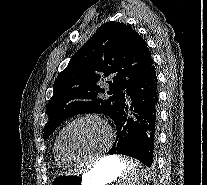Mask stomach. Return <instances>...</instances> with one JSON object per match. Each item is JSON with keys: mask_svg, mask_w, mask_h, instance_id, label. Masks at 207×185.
Returning <instances> with one entry per match:
<instances>
[{"mask_svg": "<svg viewBox=\"0 0 207 185\" xmlns=\"http://www.w3.org/2000/svg\"><path fill=\"white\" fill-rule=\"evenodd\" d=\"M124 169L119 156H107L84 174L56 176L51 185H108L121 176Z\"/></svg>", "mask_w": 207, "mask_h": 185, "instance_id": "obj_1", "label": "stomach"}]
</instances>
